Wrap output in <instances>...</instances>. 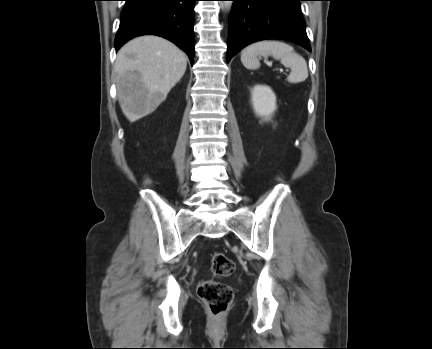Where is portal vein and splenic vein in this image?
Here are the masks:
<instances>
[{"instance_id": "1", "label": "portal vein and splenic vein", "mask_w": 432, "mask_h": 349, "mask_svg": "<svg viewBox=\"0 0 432 349\" xmlns=\"http://www.w3.org/2000/svg\"><path fill=\"white\" fill-rule=\"evenodd\" d=\"M268 65H272V63L271 62H266ZM280 71H283V69H280Z\"/></svg>"}]
</instances>
